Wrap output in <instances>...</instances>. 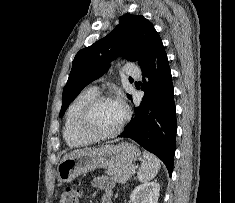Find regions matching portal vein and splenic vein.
Returning a JSON list of instances; mask_svg holds the SVG:
<instances>
[{
    "label": "portal vein and splenic vein",
    "instance_id": "obj_1",
    "mask_svg": "<svg viewBox=\"0 0 235 203\" xmlns=\"http://www.w3.org/2000/svg\"><path fill=\"white\" fill-rule=\"evenodd\" d=\"M131 172H132V174H134L135 173V169L133 168Z\"/></svg>",
    "mask_w": 235,
    "mask_h": 203
}]
</instances>
